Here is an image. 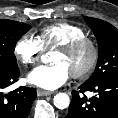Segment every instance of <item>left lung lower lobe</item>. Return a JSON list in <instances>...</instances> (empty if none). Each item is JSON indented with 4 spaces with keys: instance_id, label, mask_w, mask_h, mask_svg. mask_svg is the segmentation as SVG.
<instances>
[{
    "instance_id": "obj_1",
    "label": "left lung lower lobe",
    "mask_w": 118,
    "mask_h": 118,
    "mask_svg": "<svg viewBox=\"0 0 118 118\" xmlns=\"http://www.w3.org/2000/svg\"><path fill=\"white\" fill-rule=\"evenodd\" d=\"M79 91H72V101L65 118H118V77L89 84L83 83ZM85 91L96 95L87 99Z\"/></svg>"
}]
</instances>
